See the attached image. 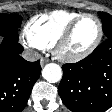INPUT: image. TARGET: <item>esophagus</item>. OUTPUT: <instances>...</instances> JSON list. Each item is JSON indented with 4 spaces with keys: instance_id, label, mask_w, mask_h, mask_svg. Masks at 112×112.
<instances>
[{
    "instance_id": "1",
    "label": "esophagus",
    "mask_w": 112,
    "mask_h": 112,
    "mask_svg": "<svg viewBox=\"0 0 112 112\" xmlns=\"http://www.w3.org/2000/svg\"><path fill=\"white\" fill-rule=\"evenodd\" d=\"M46 62H47V60H45L44 58H41V60H40L41 66H43Z\"/></svg>"
}]
</instances>
